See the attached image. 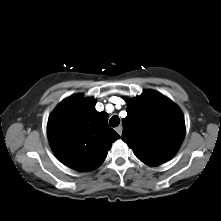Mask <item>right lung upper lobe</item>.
<instances>
[{"label":"right lung upper lobe","instance_id":"cb5924a9","mask_svg":"<svg viewBox=\"0 0 221 221\" xmlns=\"http://www.w3.org/2000/svg\"><path fill=\"white\" fill-rule=\"evenodd\" d=\"M95 104L94 98L72 95L55 108L48 120L53 152L62 163L81 172L99 167L111 144L120 138L108 126V114L96 111Z\"/></svg>","mask_w":221,"mask_h":221}]
</instances>
